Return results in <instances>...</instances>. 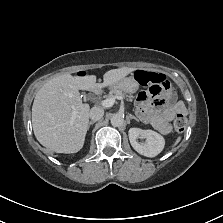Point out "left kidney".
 I'll return each mask as SVG.
<instances>
[{
	"instance_id": "5707ae66",
	"label": "left kidney",
	"mask_w": 223,
	"mask_h": 223,
	"mask_svg": "<svg viewBox=\"0 0 223 223\" xmlns=\"http://www.w3.org/2000/svg\"><path fill=\"white\" fill-rule=\"evenodd\" d=\"M146 138L145 144H140L136 140L139 136ZM129 140L132 147L141 155L146 157L157 156L164 148L165 140L163 136L153 130H142L140 128H130Z\"/></svg>"
}]
</instances>
